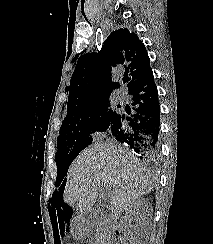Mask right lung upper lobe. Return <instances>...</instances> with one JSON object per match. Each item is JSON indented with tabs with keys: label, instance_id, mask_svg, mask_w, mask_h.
I'll use <instances>...</instances> for the list:
<instances>
[{
	"label": "right lung upper lobe",
	"instance_id": "cb5924a9",
	"mask_svg": "<svg viewBox=\"0 0 213 244\" xmlns=\"http://www.w3.org/2000/svg\"><path fill=\"white\" fill-rule=\"evenodd\" d=\"M150 59L144 44L127 28L112 32L98 53H87L78 59L71 77L67 109L109 96L120 85L112 81L111 70L119 66L129 75L131 91L146 75Z\"/></svg>",
	"mask_w": 213,
	"mask_h": 244
}]
</instances>
